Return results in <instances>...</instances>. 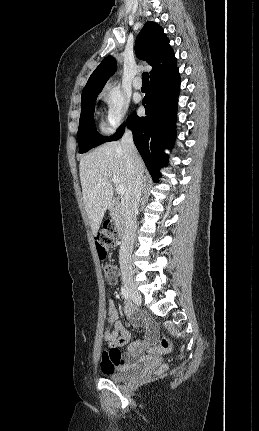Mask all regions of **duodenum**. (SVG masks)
<instances>
[{
    "label": "duodenum",
    "instance_id": "1",
    "mask_svg": "<svg viewBox=\"0 0 259 431\" xmlns=\"http://www.w3.org/2000/svg\"><path fill=\"white\" fill-rule=\"evenodd\" d=\"M110 211H112L118 218L119 230H118V244L123 242L126 235L127 221L124 213L123 204L120 200L114 199L109 205Z\"/></svg>",
    "mask_w": 259,
    "mask_h": 431
}]
</instances>
